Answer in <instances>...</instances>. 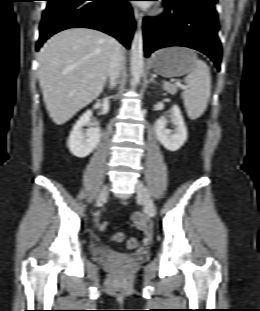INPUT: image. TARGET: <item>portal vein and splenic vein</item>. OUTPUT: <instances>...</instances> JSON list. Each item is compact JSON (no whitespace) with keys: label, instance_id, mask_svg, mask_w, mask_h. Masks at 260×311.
<instances>
[{"label":"portal vein and splenic vein","instance_id":"portal-vein-and-splenic-vein-1","mask_svg":"<svg viewBox=\"0 0 260 311\" xmlns=\"http://www.w3.org/2000/svg\"><path fill=\"white\" fill-rule=\"evenodd\" d=\"M164 83H168V82H164ZM176 85L177 86H179V87H181V88H183V89H185L186 87L185 86H183L180 82H176Z\"/></svg>","mask_w":260,"mask_h":311}]
</instances>
